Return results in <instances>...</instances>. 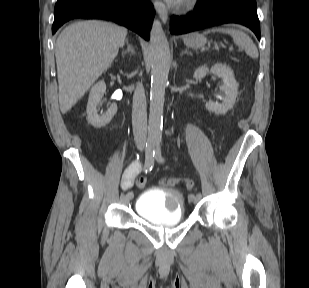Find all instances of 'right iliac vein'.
I'll list each match as a JSON object with an SVG mask.
<instances>
[{"label":"right iliac vein","mask_w":309,"mask_h":288,"mask_svg":"<svg viewBox=\"0 0 309 288\" xmlns=\"http://www.w3.org/2000/svg\"><path fill=\"white\" fill-rule=\"evenodd\" d=\"M132 199V197H130L128 194H126L125 196H123L122 198H121V202L123 203V204H128L129 203V201Z\"/></svg>","instance_id":"1"}]
</instances>
